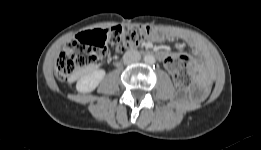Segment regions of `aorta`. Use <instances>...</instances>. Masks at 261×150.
Listing matches in <instances>:
<instances>
[{
    "mask_svg": "<svg viewBox=\"0 0 261 150\" xmlns=\"http://www.w3.org/2000/svg\"><path fill=\"white\" fill-rule=\"evenodd\" d=\"M155 57L153 55H146L144 57V62L148 65H153L155 63Z\"/></svg>",
    "mask_w": 261,
    "mask_h": 150,
    "instance_id": "1",
    "label": "aorta"
}]
</instances>
